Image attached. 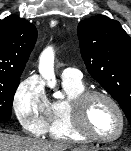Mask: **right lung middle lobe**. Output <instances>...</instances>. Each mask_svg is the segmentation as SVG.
<instances>
[{"label":"right lung middle lobe","mask_w":131,"mask_h":151,"mask_svg":"<svg viewBox=\"0 0 131 151\" xmlns=\"http://www.w3.org/2000/svg\"><path fill=\"white\" fill-rule=\"evenodd\" d=\"M21 74L0 75V121L11 118L14 94L20 83Z\"/></svg>","instance_id":"1"}]
</instances>
